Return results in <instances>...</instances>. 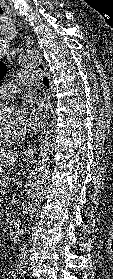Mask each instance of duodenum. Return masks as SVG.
I'll list each match as a JSON object with an SVG mask.
<instances>
[{
    "instance_id": "duodenum-1",
    "label": "duodenum",
    "mask_w": 113,
    "mask_h": 279,
    "mask_svg": "<svg viewBox=\"0 0 113 279\" xmlns=\"http://www.w3.org/2000/svg\"><path fill=\"white\" fill-rule=\"evenodd\" d=\"M9 232L12 240L18 243L20 241L21 228L17 220L11 221L9 226Z\"/></svg>"
}]
</instances>
